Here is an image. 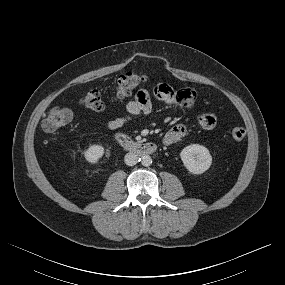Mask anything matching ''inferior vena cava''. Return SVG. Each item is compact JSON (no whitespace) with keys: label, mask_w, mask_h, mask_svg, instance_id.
<instances>
[{"label":"inferior vena cava","mask_w":285,"mask_h":285,"mask_svg":"<svg viewBox=\"0 0 285 285\" xmlns=\"http://www.w3.org/2000/svg\"><path fill=\"white\" fill-rule=\"evenodd\" d=\"M124 161H125L126 165L134 166L137 164L138 157L136 154L129 152L125 155Z\"/></svg>","instance_id":"inferior-vena-cava-1"}]
</instances>
